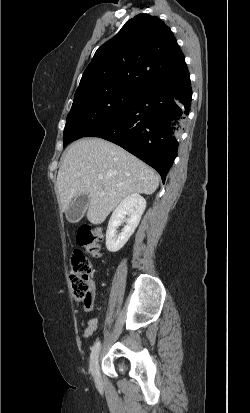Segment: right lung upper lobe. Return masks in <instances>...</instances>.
Here are the masks:
<instances>
[{
	"label": "right lung upper lobe",
	"mask_w": 250,
	"mask_h": 413,
	"mask_svg": "<svg viewBox=\"0 0 250 413\" xmlns=\"http://www.w3.org/2000/svg\"><path fill=\"white\" fill-rule=\"evenodd\" d=\"M189 77L184 55L170 28L156 16L138 14L95 53L77 91L128 86L140 91L180 84Z\"/></svg>",
	"instance_id": "cb5924a9"
}]
</instances>
